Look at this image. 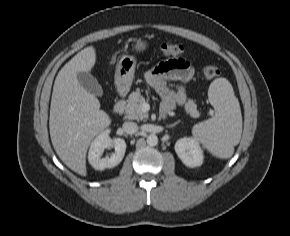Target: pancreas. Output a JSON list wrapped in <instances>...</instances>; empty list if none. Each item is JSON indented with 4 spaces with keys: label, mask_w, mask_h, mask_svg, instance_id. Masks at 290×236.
I'll list each match as a JSON object with an SVG mask.
<instances>
[{
    "label": "pancreas",
    "mask_w": 290,
    "mask_h": 236,
    "mask_svg": "<svg viewBox=\"0 0 290 236\" xmlns=\"http://www.w3.org/2000/svg\"><path fill=\"white\" fill-rule=\"evenodd\" d=\"M126 102L127 104L125 106V114L127 119L144 120L148 118V113L144 112L141 108L142 104L145 103V98L141 95L140 91L132 92ZM184 109L191 117H199L197 105L193 100L189 99L186 102Z\"/></svg>",
    "instance_id": "obj_1"
}]
</instances>
